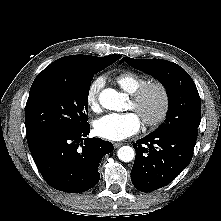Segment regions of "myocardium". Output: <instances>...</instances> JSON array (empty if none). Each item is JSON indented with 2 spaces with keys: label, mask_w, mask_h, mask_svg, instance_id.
Returning <instances> with one entry per match:
<instances>
[{
  "label": "myocardium",
  "mask_w": 221,
  "mask_h": 221,
  "mask_svg": "<svg viewBox=\"0 0 221 221\" xmlns=\"http://www.w3.org/2000/svg\"><path fill=\"white\" fill-rule=\"evenodd\" d=\"M151 90H156L160 95V109L155 116L151 118L143 117L142 121L147 127H156L166 119L170 110L171 98L168 87L159 80L147 81L141 85L133 94H131V102L137 109L143 102L147 93Z\"/></svg>",
  "instance_id": "myocardium-1"
}]
</instances>
